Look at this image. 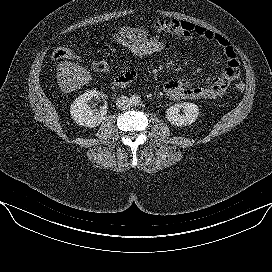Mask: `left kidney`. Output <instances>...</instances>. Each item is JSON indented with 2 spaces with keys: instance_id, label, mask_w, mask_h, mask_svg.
<instances>
[{
  "instance_id": "left-kidney-1",
  "label": "left kidney",
  "mask_w": 272,
  "mask_h": 272,
  "mask_svg": "<svg viewBox=\"0 0 272 272\" xmlns=\"http://www.w3.org/2000/svg\"><path fill=\"white\" fill-rule=\"evenodd\" d=\"M183 109L184 114H180ZM199 115V108L196 104L183 102L170 106L166 111L167 120L176 126H187L194 123Z\"/></svg>"
}]
</instances>
